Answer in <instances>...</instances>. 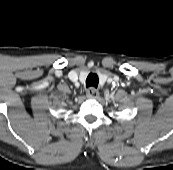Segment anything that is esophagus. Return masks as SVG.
<instances>
[{"instance_id": "34e87169", "label": "esophagus", "mask_w": 173, "mask_h": 170, "mask_svg": "<svg viewBox=\"0 0 173 170\" xmlns=\"http://www.w3.org/2000/svg\"><path fill=\"white\" fill-rule=\"evenodd\" d=\"M86 96L89 99H95L99 96V92L94 87H90L86 92Z\"/></svg>"}]
</instances>
